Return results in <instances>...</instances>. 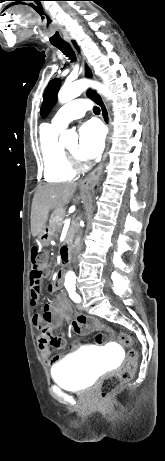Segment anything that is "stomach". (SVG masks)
Segmentation results:
<instances>
[{"label":"stomach","mask_w":165,"mask_h":461,"mask_svg":"<svg viewBox=\"0 0 165 461\" xmlns=\"http://www.w3.org/2000/svg\"><path fill=\"white\" fill-rule=\"evenodd\" d=\"M54 236V231L50 225H45L41 233L38 235V240L42 246H48Z\"/></svg>","instance_id":"1"}]
</instances>
